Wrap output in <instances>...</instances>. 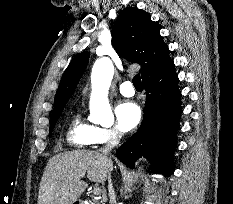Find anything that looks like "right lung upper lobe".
<instances>
[{
  "label": "right lung upper lobe",
  "instance_id": "obj_1",
  "mask_svg": "<svg viewBox=\"0 0 233 204\" xmlns=\"http://www.w3.org/2000/svg\"><path fill=\"white\" fill-rule=\"evenodd\" d=\"M112 44L123 58L140 64L142 79L173 63L158 26L149 13L137 7H127L120 13L112 29ZM88 60L89 52H82L68 65L55 96L52 118L61 115Z\"/></svg>",
  "mask_w": 233,
  "mask_h": 204
}]
</instances>
